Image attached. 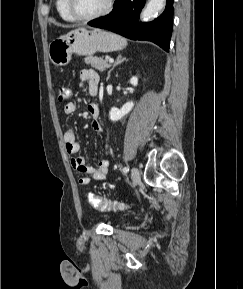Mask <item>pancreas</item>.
Here are the masks:
<instances>
[{
  "mask_svg": "<svg viewBox=\"0 0 243 289\" xmlns=\"http://www.w3.org/2000/svg\"><path fill=\"white\" fill-rule=\"evenodd\" d=\"M84 60L86 64L90 65L92 68H95L100 72H103L106 68H109L111 66L108 63V60L103 59V57L87 56Z\"/></svg>",
  "mask_w": 243,
  "mask_h": 289,
  "instance_id": "1",
  "label": "pancreas"
}]
</instances>
